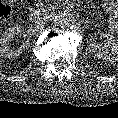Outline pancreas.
Here are the masks:
<instances>
[{"label": "pancreas", "mask_w": 118, "mask_h": 118, "mask_svg": "<svg viewBox=\"0 0 118 118\" xmlns=\"http://www.w3.org/2000/svg\"><path fill=\"white\" fill-rule=\"evenodd\" d=\"M56 1V0H55ZM48 10H50L51 8H53V6L52 5H48Z\"/></svg>", "instance_id": "obj_1"}]
</instances>
